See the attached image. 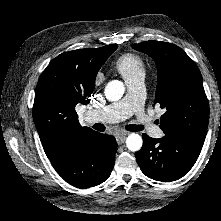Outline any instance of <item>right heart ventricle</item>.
<instances>
[{
	"label": "right heart ventricle",
	"mask_w": 221,
	"mask_h": 221,
	"mask_svg": "<svg viewBox=\"0 0 221 221\" xmlns=\"http://www.w3.org/2000/svg\"><path fill=\"white\" fill-rule=\"evenodd\" d=\"M115 68L122 75L126 83L144 76L146 72L144 59L133 52L121 54L115 61Z\"/></svg>",
	"instance_id": "1"
}]
</instances>
